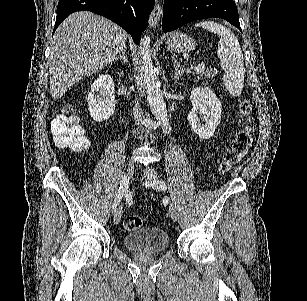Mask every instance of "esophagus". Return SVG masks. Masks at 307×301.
I'll list each match as a JSON object with an SVG mask.
<instances>
[{
  "mask_svg": "<svg viewBox=\"0 0 307 301\" xmlns=\"http://www.w3.org/2000/svg\"><path fill=\"white\" fill-rule=\"evenodd\" d=\"M161 15H162V7L160 3L156 2L155 8L149 17V27L150 28L155 29L158 27Z\"/></svg>",
  "mask_w": 307,
  "mask_h": 301,
  "instance_id": "esophagus-1",
  "label": "esophagus"
}]
</instances>
